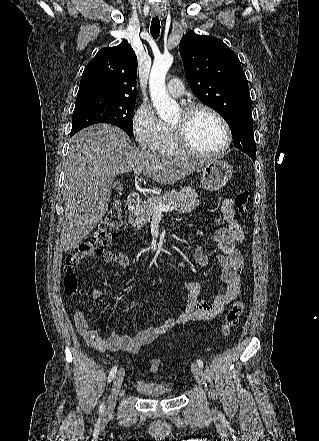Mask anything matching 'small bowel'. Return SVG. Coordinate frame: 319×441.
Returning <instances> with one entry per match:
<instances>
[{"mask_svg": "<svg viewBox=\"0 0 319 441\" xmlns=\"http://www.w3.org/2000/svg\"><path fill=\"white\" fill-rule=\"evenodd\" d=\"M221 210L226 225L216 228L213 231V236L219 249L217 259L222 266L221 280L225 285L223 292L211 302L203 301L198 298V284L194 281H187L184 286L188 291V298L184 312L177 318L166 319L161 325L142 329L134 336L112 332L107 339H103L97 331L90 327L83 312L76 311L74 314L76 328L90 346L103 352L125 351L136 354L142 347L164 335L176 323L185 324L192 321L210 320L222 314L225 306L235 300L240 291L244 260L237 246L244 240V231L236 218L232 199H225L222 202ZM193 251L194 257L200 265L208 263V257L199 245H194ZM103 258L105 262L118 264L125 269L131 267L129 258L118 251H107ZM91 295L95 300H99L102 297V291L93 287Z\"/></svg>", "mask_w": 319, "mask_h": 441, "instance_id": "c3829d8e", "label": "small bowel"}]
</instances>
